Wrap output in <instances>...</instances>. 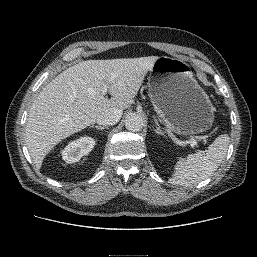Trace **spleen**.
I'll use <instances>...</instances> for the list:
<instances>
[{
    "mask_svg": "<svg viewBox=\"0 0 257 257\" xmlns=\"http://www.w3.org/2000/svg\"><path fill=\"white\" fill-rule=\"evenodd\" d=\"M229 142V135L222 134L208 147L206 154L194 153L186 158L180 157L174 167L175 171L169 179V183L191 186L207 179L224 160Z\"/></svg>",
    "mask_w": 257,
    "mask_h": 257,
    "instance_id": "1",
    "label": "spleen"
}]
</instances>
